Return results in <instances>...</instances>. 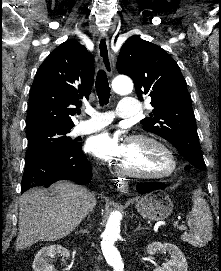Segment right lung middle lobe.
<instances>
[{
	"instance_id": "dd1d6c3e",
	"label": "right lung middle lobe",
	"mask_w": 221,
	"mask_h": 271,
	"mask_svg": "<svg viewBox=\"0 0 221 271\" xmlns=\"http://www.w3.org/2000/svg\"><path fill=\"white\" fill-rule=\"evenodd\" d=\"M73 126L47 125L26 131L28 150L26 160L47 153L68 152L76 148L75 143L66 136Z\"/></svg>"
}]
</instances>
